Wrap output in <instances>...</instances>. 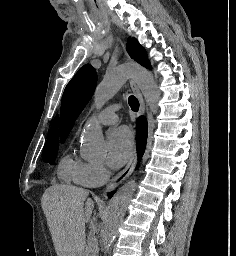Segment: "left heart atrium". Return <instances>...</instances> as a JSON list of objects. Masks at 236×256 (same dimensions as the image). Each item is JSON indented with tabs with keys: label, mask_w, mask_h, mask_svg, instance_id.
<instances>
[{
	"label": "left heart atrium",
	"mask_w": 236,
	"mask_h": 256,
	"mask_svg": "<svg viewBox=\"0 0 236 256\" xmlns=\"http://www.w3.org/2000/svg\"><path fill=\"white\" fill-rule=\"evenodd\" d=\"M134 148V139L131 130L127 127H120L113 131L108 137L107 162L113 169L123 166Z\"/></svg>",
	"instance_id": "39dd6f15"
}]
</instances>
